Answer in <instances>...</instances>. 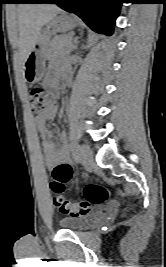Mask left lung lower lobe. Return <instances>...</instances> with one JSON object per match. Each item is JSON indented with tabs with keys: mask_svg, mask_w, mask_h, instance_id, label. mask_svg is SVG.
Masks as SVG:
<instances>
[{
	"mask_svg": "<svg viewBox=\"0 0 166 267\" xmlns=\"http://www.w3.org/2000/svg\"><path fill=\"white\" fill-rule=\"evenodd\" d=\"M75 13L95 32L112 35L122 0H43Z\"/></svg>",
	"mask_w": 166,
	"mask_h": 267,
	"instance_id": "obj_1",
	"label": "left lung lower lobe"
}]
</instances>
